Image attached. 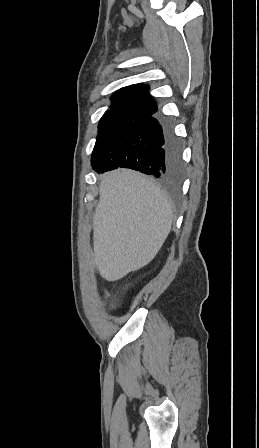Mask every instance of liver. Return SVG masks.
<instances>
[{
  "label": "liver",
  "mask_w": 259,
  "mask_h": 448,
  "mask_svg": "<svg viewBox=\"0 0 259 448\" xmlns=\"http://www.w3.org/2000/svg\"><path fill=\"white\" fill-rule=\"evenodd\" d=\"M93 216V258L100 276L115 282L147 266L163 246L172 208L158 184L133 170L101 176Z\"/></svg>",
  "instance_id": "liver-1"
}]
</instances>
